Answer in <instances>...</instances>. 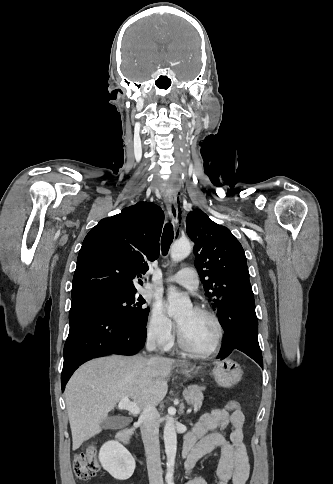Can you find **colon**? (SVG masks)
<instances>
[{
    "instance_id": "obj_1",
    "label": "colon",
    "mask_w": 333,
    "mask_h": 484,
    "mask_svg": "<svg viewBox=\"0 0 333 484\" xmlns=\"http://www.w3.org/2000/svg\"><path fill=\"white\" fill-rule=\"evenodd\" d=\"M223 408L228 411L241 410V404L238 401H230ZM73 469L76 477L80 480L86 481L96 476L100 465L97 449L94 445H90L85 451L74 456Z\"/></svg>"
}]
</instances>
